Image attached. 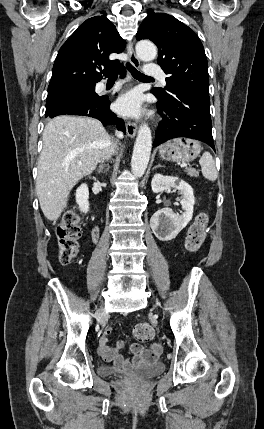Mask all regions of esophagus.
<instances>
[{"mask_svg": "<svg viewBox=\"0 0 264 429\" xmlns=\"http://www.w3.org/2000/svg\"><path fill=\"white\" fill-rule=\"evenodd\" d=\"M127 53L129 56L130 63L134 67L138 68L140 66V61L137 58V56L135 55V52H134V49H133V46L131 43H129L127 45ZM126 132L130 138H134L136 133H137V124L135 122L127 121L126 122Z\"/></svg>", "mask_w": 264, "mask_h": 429, "instance_id": "esophagus-1", "label": "esophagus"}]
</instances>
